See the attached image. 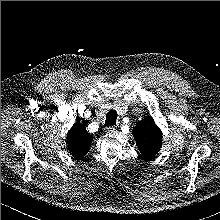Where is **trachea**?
I'll return each mask as SVG.
<instances>
[{
  "label": "trachea",
  "instance_id": "trachea-1",
  "mask_svg": "<svg viewBox=\"0 0 220 220\" xmlns=\"http://www.w3.org/2000/svg\"><path fill=\"white\" fill-rule=\"evenodd\" d=\"M117 112L115 110H111L106 114V122L105 126H113L116 124Z\"/></svg>",
  "mask_w": 220,
  "mask_h": 220
}]
</instances>
